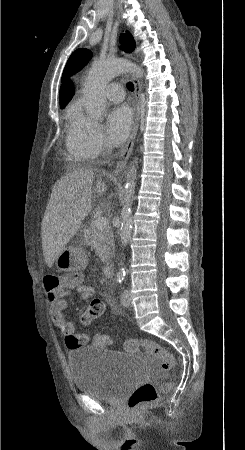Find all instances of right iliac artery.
I'll return each instance as SVG.
<instances>
[{"instance_id": "right-iliac-artery-1", "label": "right iliac artery", "mask_w": 245, "mask_h": 450, "mask_svg": "<svg viewBox=\"0 0 245 450\" xmlns=\"http://www.w3.org/2000/svg\"><path fill=\"white\" fill-rule=\"evenodd\" d=\"M123 280H124V276L123 275H117V282L119 284H121Z\"/></svg>"}]
</instances>
